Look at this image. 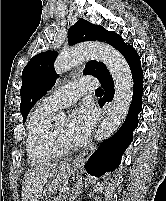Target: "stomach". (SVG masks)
I'll list each match as a JSON object with an SVG mask.
<instances>
[{
	"mask_svg": "<svg viewBox=\"0 0 166 201\" xmlns=\"http://www.w3.org/2000/svg\"><path fill=\"white\" fill-rule=\"evenodd\" d=\"M75 171L73 166H68L66 168L60 169L54 176L52 182L46 184L43 189L45 195H51L55 193L57 186L60 182H65L68 180L69 176Z\"/></svg>",
	"mask_w": 166,
	"mask_h": 201,
	"instance_id": "0dacf381",
	"label": "stomach"
}]
</instances>
